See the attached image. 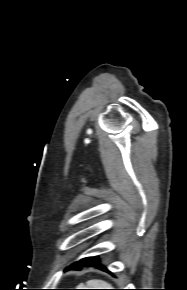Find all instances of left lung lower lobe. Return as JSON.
<instances>
[{
    "mask_svg": "<svg viewBox=\"0 0 187 290\" xmlns=\"http://www.w3.org/2000/svg\"><path fill=\"white\" fill-rule=\"evenodd\" d=\"M96 258L97 257H94L93 259L85 262L82 266H90L91 264H93L99 269L106 270L105 267H103L101 264L98 263L99 261Z\"/></svg>",
    "mask_w": 187,
    "mask_h": 290,
    "instance_id": "1",
    "label": "left lung lower lobe"
}]
</instances>
